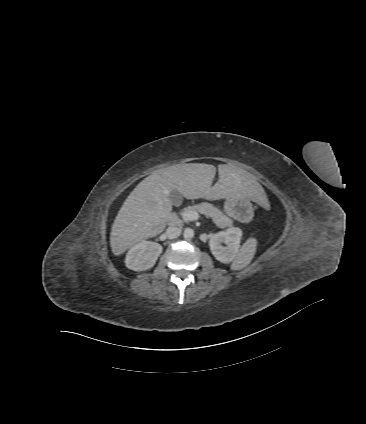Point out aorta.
Masks as SVG:
<instances>
[{
  "label": "aorta",
  "mask_w": 366,
  "mask_h": 424,
  "mask_svg": "<svg viewBox=\"0 0 366 424\" xmlns=\"http://www.w3.org/2000/svg\"><path fill=\"white\" fill-rule=\"evenodd\" d=\"M183 236L185 239H191L194 237V230L192 228H186L184 230Z\"/></svg>",
  "instance_id": "obj_1"
}]
</instances>
